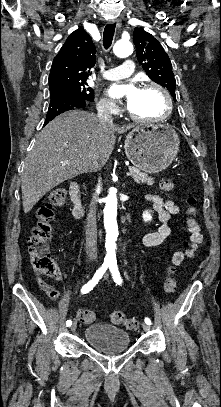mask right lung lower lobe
<instances>
[{
	"label": "right lung lower lobe",
	"instance_id": "1",
	"mask_svg": "<svg viewBox=\"0 0 221 407\" xmlns=\"http://www.w3.org/2000/svg\"><path fill=\"white\" fill-rule=\"evenodd\" d=\"M89 102L93 101H88L82 98H62L51 101L44 125L65 111L76 108H84Z\"/></svg>",
	"mask_w": 221,
	"mask_h": 407
}]
</instances>
